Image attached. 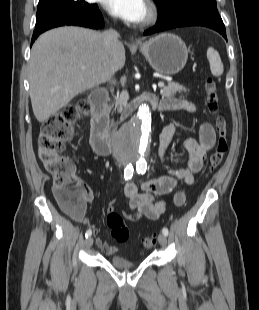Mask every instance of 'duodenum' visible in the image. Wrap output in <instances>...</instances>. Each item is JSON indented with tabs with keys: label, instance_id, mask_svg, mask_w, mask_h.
Wrapping results in <instances>:
<instances>
[{
	"label": "duodenum",
	"instance_id": "obj_1",
	"mask_svg": "<svg viewBox=\"0 0 259 310\" xmlns=\"http://www.w3.org/2000/svg\"><path fill=\"white\" fill-rule=\"evenodd\" d=\"M107 98L106 90H96L90 97L92 106L90 143L93 151L99 155L110 154L112 149ZM143 103L151 105L156 110H164L154 96H143L136 100L135 105L139 107Z\"/></svg>",
	"mask_w": 259,
	"mask_h": 310
}]
</instances>
